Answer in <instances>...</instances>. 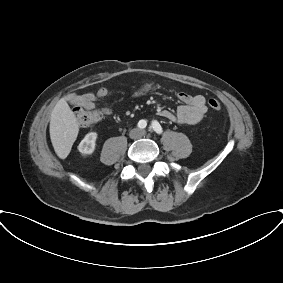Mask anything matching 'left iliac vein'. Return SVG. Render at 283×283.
I'll list each match as a JSON object with an SVG mask.
<instances>
[{
  "label": "left iliac vein",
  "instance_id": "left-iliac-vein-1",
  "mask_svg": "<svg viewBox=\"0 0 283 283\" xmlns=\"http://www.w3.org/2000/svg\"><path fill=\"white\" fill-rule=\"evenodd\" d=\"M140 136H141V137H145V136H146V131H144V130H143V131H141Z\"/></svg>",
  "mask_w": 283,
  "mask_h": 283
}]
</instances>
